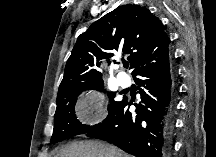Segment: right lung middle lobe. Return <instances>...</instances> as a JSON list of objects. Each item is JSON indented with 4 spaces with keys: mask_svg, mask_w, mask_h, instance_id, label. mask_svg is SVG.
I'll use <instances>...</instances> for the list:
<instances>
[{
    "mask_svg": "<svg viewBox=\"0 0 216 157\" xmlns=\"http://www.w3.org/2000/svg\"><path fill=\"white\" fill-rule=\"evenodd\" d=\"M90 89H96L98 91H104L103 87H97V88H90ZM87 90V89H85ZM84 91H78V92H71V93H65L61 97L57 98V108L54 115V129H53V135L51 137V143L60 142L66 138L78 135V134H88L97 128L103 126L106 124L109 120H111L122 101H114V97L116 95L115 92H109L108 96L111 98V104L110 107H108V116L106 117L103 122L89 126V125H83L80 123V121L76 118L75 115V104L77 97L79 94Z\"/></svg>",
    "mask_w": 216,
    "mask_h": 157,
    "instance_id": "dd1d6c3e",
    "label": "right lung middle lobe"
}]
</instances>
